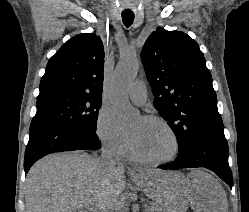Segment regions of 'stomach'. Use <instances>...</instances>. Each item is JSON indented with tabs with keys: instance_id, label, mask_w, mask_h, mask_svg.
<instances>
[{
	"instance_id": "stomach-1",
	"label": "stomach",
	"mask_w": 249,
	"mask_h": 212,
	"mask_svg": "<svg viewBox=\"0 0 249 212\" xmlns=\"http://www.w3.org/2000/svg\"><path fill=\"white\" fill-rule=\"evenodd\" d=\"M144 193L152 199V204L160 205V210L168 212H181L189 210V205H182L190 198L186 193L190 179H184L180 170H146V175H139Z\"/></svg>"
}]
</instances>
